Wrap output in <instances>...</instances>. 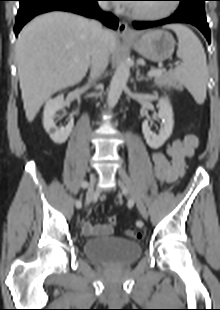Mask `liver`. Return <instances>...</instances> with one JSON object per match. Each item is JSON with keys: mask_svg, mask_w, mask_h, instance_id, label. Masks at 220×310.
<instances>
[{"mask_svg": "<svg viewBox=\"0 0 220 310\" xmlns=\"http://www.w3.org/2000/svg\"><path fill=\"white\" fill-rule=\"evenodd\" d=\"M107 31L112 54L116 37ZM15 52L24 110L32 122L53 93L84 78L90 64V21L66 12L40 15L22 29Z\"/></svg>", "mask_w": 220, "mask_h": 310, "instance_id": "obj_1", "label": "liver"}]
</instances>
